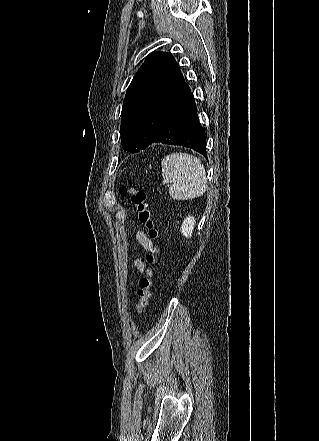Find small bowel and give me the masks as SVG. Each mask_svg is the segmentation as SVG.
<instances>
[{
    "label": "small bowel",
    "mask_w": 319,
    "mask_h": 441,
    "mask_svg": "<svg viewBox=\"0 0 319 441\" xmlns=\"http://www.w3.org/2000/svg\"><path fill=\"white\" fill-rule=\"evenodd\" d=\"M136 238L140 242V244L144 247V249H146L147 251L151 249L152 242L143 231L138 230L136 232ZM135 265L140 270L144 269V264L141 262V260H136Z\"/></svg>",
    "instance_id": "1"
}]
</instances>
